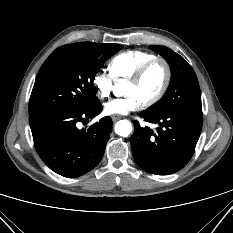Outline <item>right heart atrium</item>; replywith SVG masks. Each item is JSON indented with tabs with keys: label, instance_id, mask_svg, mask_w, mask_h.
I'll use <instances>...</instances> for the list:
<instances>
[{
	"label": "right heart atrium",
	"instance_id": "right-heart-atrium-1",
	"mask_svg": "<svg viewBox=\"0 0 233 233\" xmlns=\"http://www.w3.org/2000/svg\"><path fill=\"white\" fill-rule=\"evenodd\" d=\"M113 82V76L106 70H100L93 76V85L100 98H106L110 95L113 88Z\"/></svg>",
	"mask_w": 233,
	"mask_h": 233
}]
</instances>
